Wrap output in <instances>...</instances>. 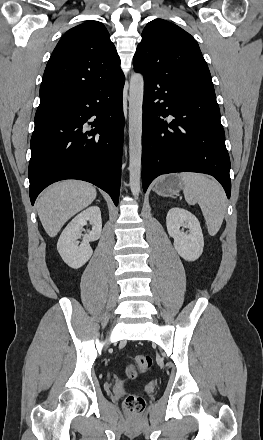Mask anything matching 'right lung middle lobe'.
<instances>
[{
  "mask_svg": "<svg viewBox=\"0 0 263 440\" xmlns=\"http://www.w3.org/2000/svg\"><path fill=\"white\" fill-rule=\"evenodd\" d=\"M53 106H42V107H38L36 114H35V121L41 119L42 117H44L45 115H47L50 111L51 108Z\"/></svg>",
  "mask_w": 263,
  "mask_h": 440,
  "instance_id": "dd1d6c3e",
  "label": "right lung middle lobe"
}]
</instances>
